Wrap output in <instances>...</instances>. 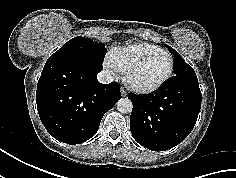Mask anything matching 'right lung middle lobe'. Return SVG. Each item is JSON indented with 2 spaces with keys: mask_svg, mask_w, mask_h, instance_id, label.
Returning <instances> with one entry per match:
<instances>
[{
  "mask_svg": "<svg viewBox=\"0 0 236 178\" xmlns=\"http://www.w3.org/2000/svg\"><path fill=\"white\" fill-rule=\"evenodd\" d=\"M105 53L106 48L103 43H97L89 38L77 36L66 42L49 59L59 57H91L102 63Z\"/></svg>",
  "mask_w": 236,
  "mask_h": 178,
  "instance_id": "obj_1",
  "label": "right lung middle lobe"
}]
</instances>
